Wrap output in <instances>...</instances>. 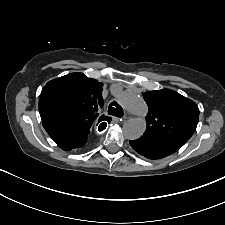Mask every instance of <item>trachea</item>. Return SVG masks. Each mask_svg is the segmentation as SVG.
Segmentation results:
<instances>
[{
	"instance_id": "obj_1",
	"label": "trachea",
	"mask_w": 225,
	"mask_h": 225,
	"mask_svg": "<svg viewBox=\"0 0 225 225\" xmlns=\"http://www.w3.org/2000/svg\"><path fill=\"white\" fill-rule=\"evenodd\" d=\"M108 114L116 117L123 116V108L116 102H113L108 107Z\"/></svg>"
}]
</instances>
